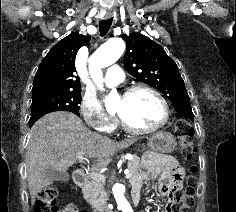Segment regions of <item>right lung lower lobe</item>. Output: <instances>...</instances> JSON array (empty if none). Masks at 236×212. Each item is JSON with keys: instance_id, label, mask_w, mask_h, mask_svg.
<instances>
[{"instance_id": "98d812e1", "label": "right lung lower lobe", "mask_w": 236, "mask_h": 212, "mask_svg": "<svg viewBox=\"0 0 236 212\" xmlns=\"http://www.w3.org/2000/svg\"><path fill=\"white\" fill-rule=\"evenodd\" d=\"M35 122H36V120L31 122V123H29V126L31 127Z\"/></svg>"}]
</instances>
